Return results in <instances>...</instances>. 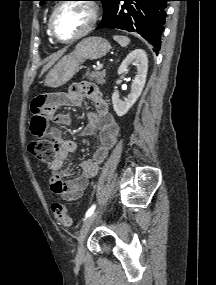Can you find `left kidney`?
<instances>
[{
    "label": "left kidney",
    "instance_id": "1",
    "mask_svg": "<svg viewBox=\"0 0 216 285\" xmlns=\"http://www.w3.org/2000/svg\"><path fill=\"white\" fill-rule=\"evenodd\" d=\"M136 65L137 75L131 85V93L127 98L121 100L119 94L114 92L112 94V103L116 114L121 117L124 116L129 109L135 104L144 88L148 70V58L143 49H135L131 51L121 63L118 69V75L128 71L129 65Z\"/></svg>",
    "mask_w": 216,
    "mask_h": 285
}]
</instances>
